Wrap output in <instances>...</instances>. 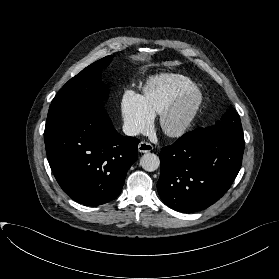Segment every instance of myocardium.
<instances>
[{"label": "myocardium", "instance_id": "f54148a6", "mask_svg": "<svg viewBox=\"0 0 279 279\" xmlns=\"http://www.w3.org/2000/svg\"><path fill=\"white\" fill-rule=\"evenodd\" d=\"M203 102L204 96L199 88L184 93L160 113L159 129L167 137H183L193 126ZM185 107H188L186 116L176 125H172L171 121Z\"/></svg>", "mask_w": 279, "mask_h": 279}]
</instances>
